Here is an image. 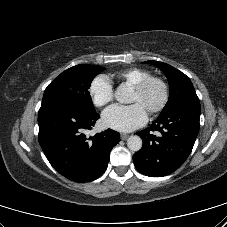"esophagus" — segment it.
<instances>
[{"label": "esophagus", "mask_w": 227, "mask_h": 227, "mask_svg": "<svg viewBox=\"0 0 227 227\" xmlns=\"http://www.w3.org/2000/svg\"><path fill=\"white\" fill-rule=\"evenodd\" d=\"M129 137L128 134H121V139L126 140Z\"/></svg>", "instance_id": "1"}]
</instances>
